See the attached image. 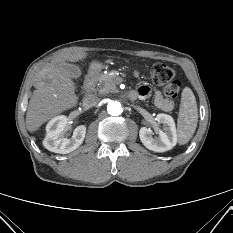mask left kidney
<instances>
[{"label": "left kidney", "mask_w": 233, "mask_h": 233, "mask_svg": "<svg viewBox=\"0 0 233 233\" xmlns=\"http://www.w3.org/2000/svg\"><path fill=\"white\" fill-rule=\"evenodd\" d=\"M156 121L163 125V130H159L158 137H153L150 128L142 127L139 137L143 145L154 152H165L171 150L177 143V130L174 119L167 114L160 113L156 116Z\"/></svg>", "instance_id": "5707ae66"}]
</instances>
